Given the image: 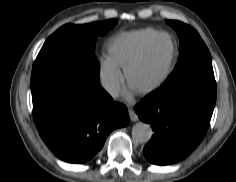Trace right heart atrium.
<instances>
[{"mask_svg": "<svg viewBox=\"0 0 236 182\" xmlns=\"http://www.w3.org/2000/svg\"><path fill=\"white\" fill-rule=\"evenodd\" d=\"M101 81L108 92L117 94L122 87L123 74L117 66L106 59L101 65Z\"/></svg>", "mask_w": 236, "mask_h": 182, "instance_id": "1", "label": "right heart atrium"}]
</instances>
